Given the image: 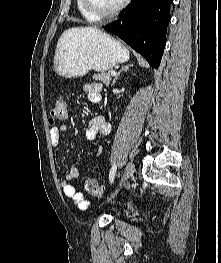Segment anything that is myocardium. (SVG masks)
Listing matches in <instances>:
<instances>
[{
  "instance_id": "1",
  "label": "myocardium",
  "mask_w": 221,
  "mask_h": 263,
  "mask_svg": "<svg viewBox=\"0 0 221 263\" xmlns=\"http://www.w3.org/2000/svg\"><path fill=\"white\" fill-rule=\"evenodd\" d=\"M129 0H122L120 4L113 10L107 12H98L90 4L89 0H82L84 9L95 19H107L118 15L128 4Z\"/></svg>"
}]
</instances>
